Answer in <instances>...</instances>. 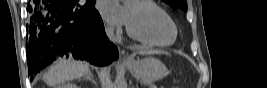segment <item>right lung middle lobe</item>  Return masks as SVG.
<instances>
[{"label":"right lung middle lobe","instance_id":"dd1d6c3e","mask_svg":"<svg viewBox=\"0 0 267 88\" xmlns=\"http://www.w3.org/2000/svg\"><path fill=\"white\" fill-rule=\"evenodd\" d=\"M75 1H77V0H75ZM86 4L94 5L95 4V0H91V1L87 0Z\"/></svg>","mask_w":267,"mask_h":88}]
</instances>
